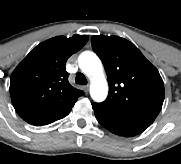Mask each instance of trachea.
I'll return each mask as SVG.
<instances>
[{"label": "trachea", "instance_id": "trachea-1", "mask_svg": "<svg viewBox=\"0 0 181 164\" xmlns=\"http://www.w3.org/2000/svg\"><path fill=\"white\" fill-rule=\"evenodd\" d=\"M76 83L85 85L87 84V79L82 73H78L75 78Z\"/></svg>", "mask_w": 181, "mask_h": 164}]
</instances>
